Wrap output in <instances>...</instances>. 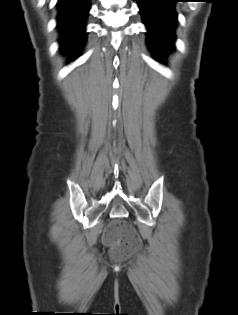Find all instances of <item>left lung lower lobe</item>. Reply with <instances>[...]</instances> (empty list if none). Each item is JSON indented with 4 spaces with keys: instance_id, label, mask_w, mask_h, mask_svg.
<instances>
[{
    "instance_id": "0a47b994",
    "label": "left lung lower lobe",
    "mask_w": 238,
    "mask_h": 315,
    "mask_svg": "<svg viewBox=\"0 0 238 315\" xmlns=\"http://www.w3.org/2000/svg\"><path fill=\"white\" fill-rule=\"evenodd\" d=\"M138 1L143 22L147 27V44L158 61H163L174 51L177 27L175 3L179 0Z\"/></svg>"
}]
</instances>
